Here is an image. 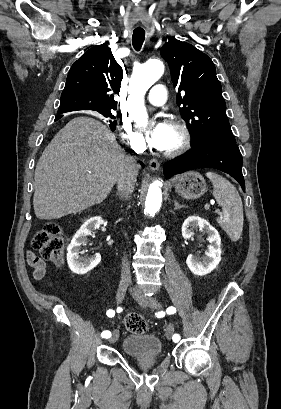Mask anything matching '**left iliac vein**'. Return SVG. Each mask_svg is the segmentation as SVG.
Here are the masks:
<instances>
[{"label": "left iliac vein", "instance_id": "obj_1", "mask_svg": "<svg viewBox=\"0 0 281 409\" xmlns=\"http://www.w3.org/2000/svg\"><path fill=\"white\" fill-rule=\"evenodd\" d=\"M133 298L142 306L145 307H150L152 309H159L161 308V304L156 300L154 297H148L140 292H138L136 289L132 288L130 290ZM174 333V327L172 324H169L168 327L166 328V336L168 339H171L173 337Z\"/></svg>", "mask_w": 281, "mask_h": 409}]
</instances>
